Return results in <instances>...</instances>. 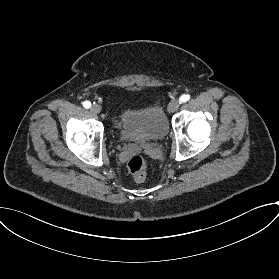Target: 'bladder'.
<instances>
[{
  "label": "bladder",
  "instance_id": "1",
  "mask_svg": "<svg viewBox=\"0 0 279 279\" xmlns=\"http://www.w3.org/2000/svg\"><path fill=\"white\" fill-rule=\"evenodd\" d=\"M168 119L160 102L126 109L120 116L119 135L129 143L144 144L164 138Z\"/></svg>",
  "mask_w": 279,
  "mask_h": 279
}]
</instances>
